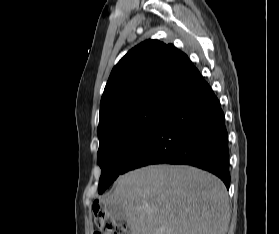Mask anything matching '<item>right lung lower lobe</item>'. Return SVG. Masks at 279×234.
Here are the masks:
<instances>
[{"instance_id":"1","label":"right lung lower lobe","mask_w":279,"mask_h":234,"mask_svg":"<svg viewBox=\"0 0 279 234\" xmlns=\"http://www.w3.org/2000/svg\"><path fill=\"white\" fill-rule=\"evenodd\" d=\"M224 113L200 76L171 103L132 154L123 173L150 164H187L207 170L230 186Z\"/></svg>"}]
</instances>
